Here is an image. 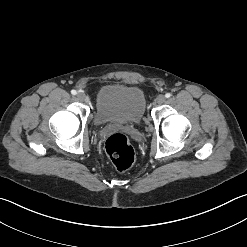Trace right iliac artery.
<instances>
[{"mask_svg":"<svg viewBox=\"0 0 247 247\" xmlns=\"http://www.w3.org/2000/svg\"><path fill=\"white\" fill-rule=\"evenodd\" d=\"M71 94H72V95H76V94H77V91H76V90H72V91H71Z\"/></svg>","mask_w":247,"mask_h":247,"instance_id":"right-iliac-artery-1","label":"right iliac artery"}]
</instances>
